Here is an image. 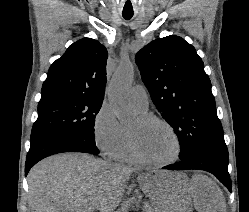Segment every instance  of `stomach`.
<instances>
[{"label": "stomach", "mask_w": 249, "mask_h": 212, "mask_svg": "<svg viewBox=\"0 0 249 212\" xmlns=\"http://www.w3.org/2000/svg\"><path fill=\"white\" fill-rule=\"evenodd\" d=\"M143 192L147 193V204H158V212H192L189 193L191 179H186L183 170H148L140 175Z\"/></svg>", "instance_id": "0dacf381"}]
</instances>
